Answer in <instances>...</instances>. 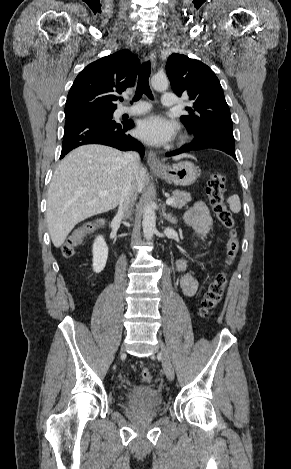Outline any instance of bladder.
<instances>
[{"instance_id": "obj_1", "label": "bladder", "mask_w": 291, "mask_h": 469, "mask_svg": "<svg viewBox=\"0 0 291 469\" xmlns=\"http://www.w3.org/2000/svg\"><path fill=\"white\" fill-rule=\"evenodd\" d=\"M123 399L132 408L154 410L163 403L162 394L155 388L148 385H136L127 390Z\"/></svg>"}]
</instances>
